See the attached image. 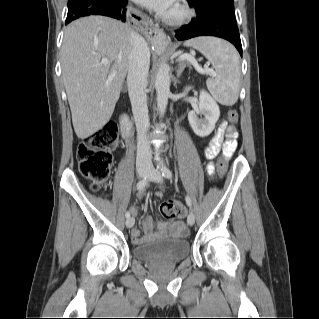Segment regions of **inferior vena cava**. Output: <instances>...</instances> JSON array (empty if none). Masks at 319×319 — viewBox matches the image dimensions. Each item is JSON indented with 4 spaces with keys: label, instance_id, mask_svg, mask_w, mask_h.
Wrapping results in <instances>:
<instances>
[{
    "label": "inferior vena cava",
    "instance_id": "inferior-vena-cava-1",
    "mask_svg": "<svg viewBox=\"0 0 319 319\" xmlns=\"http://www.w3.org/2000/svg\"><path fill=\"white\" fill-rule=\"evenodd\" d=\"M149 66L150 51L145 39L138 33L131 32L127 85L137 129L136 168L138 170L152 168L151 147L147 138L149 116L145 92Z\"/></svg>",
    "mask_w": 319,
    "mask_h": 319
}]
</instances>
